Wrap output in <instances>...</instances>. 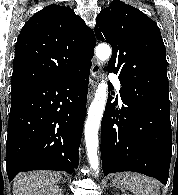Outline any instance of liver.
I'll return each mask as SVG.
<instances>
[{"instance_id": "obj_1", "label": "liver", "mask_w": 178, "mask_h": 195, "mask_svg": "<svg viewBox=\"0 0 178 195\" xmlns=\"http://www.w3.org/2000/svg\"><path fill=\"white\" fill-rule=\"evenodd\" d=\"M61 180L58 172L36 171L18 174L13 181V195H33L38 189Z\"/></svg>"}]
</instances>
